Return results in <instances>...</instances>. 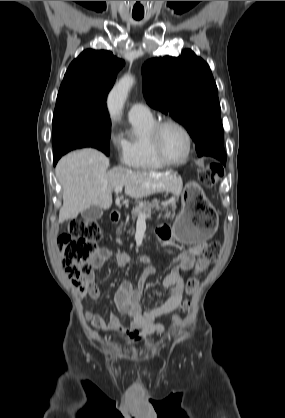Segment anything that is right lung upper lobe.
Instances as JSON below:
<instances>
[{
	"instance_id": "1",
	"label": "right lung upper lobe",
	"mask_w": 285,
	"mask_h": 418,
	"mask_svg": "<svg viewBox=\"0 0 285 418\" xmlns=\"http://www.w3.org/2000/svg\"><path fill=\"white\" fill-rule=\"evenodd\" d=\"M124 64L110 51H83L67 69L55 107L80 106L107 112V94Z\"/></svg>"
}]
</instances>
